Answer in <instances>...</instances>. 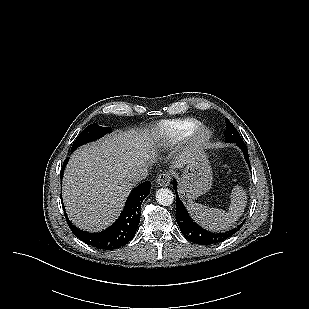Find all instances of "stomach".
Masks as SVG:
<instances>
[{
  "mask_svg": "<svg viewBox=\"0 0 309 309\" xmlns=\"http://www.w3.org/2000/svg\"><path fill=\"white\" fill-rule=\"evenodd\" d=\"M213 174L207 153L196 147L189 155L179 178V193L192 201L208 192L212 186Z\"/></svg>",
  "mask_w": 309,
  "mask_h": 309,
  "instance_id": "stomach-1",
  "label": "stomach"
}]
</instances>
